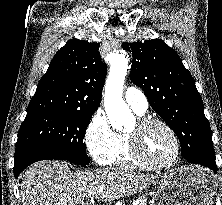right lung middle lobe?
<instances>
[{"instance_id":"dd1d6c3e","label":"right lung middle lobe","mask_w":222,"mask_h":205,"mask_svg":"<svg viewBox=\"0 0 222 205\" xmlns=\"http://www.w3.org/2000/svg\"><path fill=\"white\" fill-rule=\"evenodd\" d=\"M94 112L54 110L26 115L18 132L16 152L42 148L62 155L75 164L88 165L83 142Z\"/></svg>"}]
</instances>
